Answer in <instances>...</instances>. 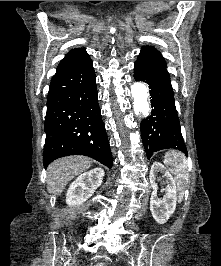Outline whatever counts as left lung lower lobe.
I'll list each match as a JSON object with an SVG mask.
<instances>
[{
	"instance_id": "left-lung-lower-lobe-1",
	"label": "left lung lower lobe",
	"mask_w": 221,
	"mask_h": 266,
	"mask_svg": "<svg viewBox=\"0 0 221 266\" xmlns=\"http://www.w3.org/2000/svg\"><path fill=\"white\" fill-rule=\"evenodd\" d=\"M134 78L149 85L152 111L141 122V137L147 158L154 152L174 148L187 154L170 76L166 69L134 63Z\"/></svg>"
}]
</instances>
